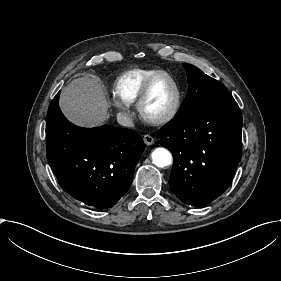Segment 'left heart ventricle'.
<instances>
[{"mask_svg":"<svg viewBox=\"0 0 281 281\" xmlns=\"http://www.w3.org/2000/svg\"><path fill=\"white\" fill-rule=\"evenodd\" d=\"M174 97L173 86L167 79L159 81L145 104L146 112L154 117L165 115L171 108Z\"/></svg>","mask_w":281,"mask_h":281,"instance_id":"obj_1","label":"left heart ventricle"}]
</instances>
